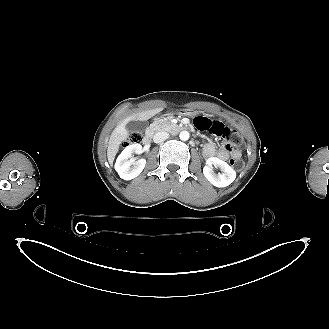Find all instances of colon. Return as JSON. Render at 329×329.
Masks as SVG:
<instances>
[{"instance_id": "obj_1", "label": "colon", "mask_w": 329, "mask_h": 329, "mask_svg": "<svg viewBox=\"0 0 329 329\" xmlns=\"http://www.w3.org/2000/svg\"><path fill=\"white\" fill-rule=\"evenodd\" d=\"M141 138H142V135H141L140 132H133V133H131L129 135V137H128L126 143H125V145L126 144H135V143H138V142L141 141ZM226 145L229 146V147L231 145H233V146H235L237 148H242L244 146V141H243L242 137H240L238 135L232 137V134H231V140ZM230 164L237 171L241 170L244 167V162L240 158H232L230 160Z\"/></svg>"}]
</instances>
